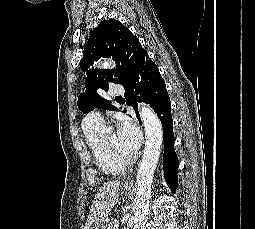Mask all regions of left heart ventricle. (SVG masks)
<instances>
[{"mask_svg":"<svg viewBox=\"0 0 255 229\" xmlns=\"http://www.w3.org/2000/svg\"><path fill=\"white\" fill-rule=\"evenodd\" d=\"M107 146L116 154L123 158H130L131 155L126 153L120 146L116 135H110L104 139Z\"/></svg>","mask_w":255,"mask_h":229,"instance_id":"left-heart-ventricle-1","label":"left heart ventricle"}]
</instances>
